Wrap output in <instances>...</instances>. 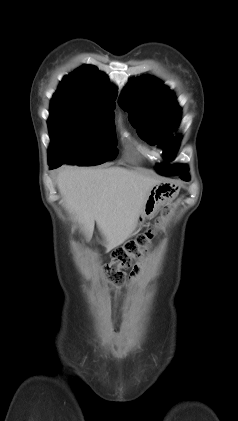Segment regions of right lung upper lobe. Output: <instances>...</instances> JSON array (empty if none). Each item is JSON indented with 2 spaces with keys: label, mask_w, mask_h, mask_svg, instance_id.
<instances>
[{
  "label": "right lung upper lobe",
  "mask_w": 238,
  "mask_h": 421,
  "mask_svg": "<svg viewBox=\"0 0 238 421\" xmlns=\"http://www.w3.org/2000/svg\"><path fill=\"white\" fill-rule=\"evenodd\" d=\"M54 97L80 99L103 105H115L116 89L95 66L84 65L63 78Z\"/></svg>",
  "instance_id": "right-lung-upper-lobe-1"
}]
</instances>
